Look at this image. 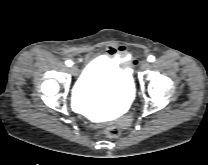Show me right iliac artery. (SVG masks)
I'll return each instance as SVG.
<instances>
[{
  "label": "right iliac artery",
  "instance_id": "82829eb1",
  "mask_svg": "<svg viewBox=\"0 0 208 165\" xmlns=\"http://www.w3.org/2000/svg\"><path fill=\"white\" fill-rule=\"evenodd\" d=\"M65 63H66L67 66H72L73 65L72 61H70V60H67Z\"/></svg>",
  "mask_w": 208,
  "mask_h": 165
}]
</instances>
